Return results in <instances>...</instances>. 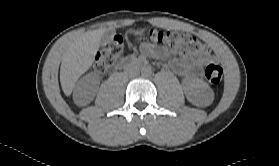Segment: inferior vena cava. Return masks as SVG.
Here are the masks:
<instances>
[{
	"label": "inferior vena cava",
	"mask_w": 279,
	"mask_h": 166,
	"mask_svg": "<svg viewBox=\"0 0 279 166\" xmlns=\"http://www.w3.org/2000/svg\"><path fill=\"white\" fill-rule=\"evenodd\" d=\"M128 74H129L130 77H134V76H137L139 74V72H138L137 69H135V70L129 72Z\"/></svg>",
	"instance_id": "inferior-vena-cava-1"
}]
</instances>
